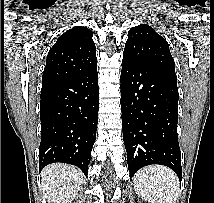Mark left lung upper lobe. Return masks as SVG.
I'll return each instance as SVG.
<instances>
[{"mask_svg": "<svg viewBox=\"0 0 214 203\" xmlns=\"http://www.w3.org/2000/svg\"><path fill=\"white\" fill-rule=\"evenodd\" d=\"M124 55L176 74L174 60L166 40L149 25L141 24L129 30Z\"/></svg>", "mask_w": 214, "mask_h": 203, "instance_id": "1", "label": "left lung upper lobe"}]
</instances>
